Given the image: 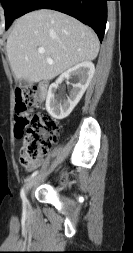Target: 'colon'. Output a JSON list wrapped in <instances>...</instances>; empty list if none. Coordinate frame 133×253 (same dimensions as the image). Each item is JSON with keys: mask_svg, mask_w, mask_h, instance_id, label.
I'll return each instance as SVG.
<instances>
[{"mask_svg": "<svg viewBox=\"0 0 133 253\" xmlns=\"http://www.w3.org/2000/svg\"><path fill=\"white\" fill-rule=\"evenodd\" d=\"M41 105L40 92L35 86H25L16 91L15 135L22 139L20 162L30 166L51 148L59 125L47 114L32 113Z\"/></svg>", "mask_w": 133, "mask_h": 253, "instance_id": "1", "label": "colon"}]
</instances>
